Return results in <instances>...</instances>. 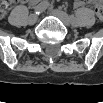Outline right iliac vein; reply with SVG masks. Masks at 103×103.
Returning <instances> with one entry per match:
<instances>
[{"instance_id": "1", "label": "right iliac vein", "mask_w": 103, "mask_h": 103, "mask_svg": "<svg viewBox=\"0 0 103 103\" xmlns=\"http://www.w3.org/2000/svg\"><path fill=\"white\" fill-rule=\"evenodd\" d=\"M38 21V15L37 14H32L30 15V17L28 18V23L33 25Z\"/></svg>"}]
</instances>
